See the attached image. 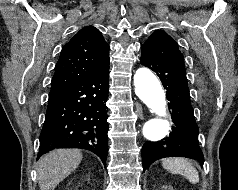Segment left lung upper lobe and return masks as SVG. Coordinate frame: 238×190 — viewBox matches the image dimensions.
I'll return each mask as SVG.
<instances>
[{"label": "left lung upper lobe", "mask_w": 238, "mask_h": 190, "mask_svg": "<svg viewBox=\"0 0 238 190\" xmlns=\"http://www.w3.org/2000/svg\"><path fill=\"white\" fill-rule=\"evenodd\" d=\"M142 54L152 58L184 65L178 44L163 30L155 31L142 46Z\"/></svg>", "instance_id": "left-lung-upper-lobe-1"}]
</instances>
